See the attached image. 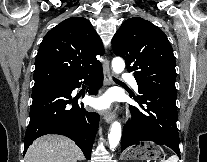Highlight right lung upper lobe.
<instances>
[{
    "label": "right lung upper lobe",
    "instance_id": "cb5924a9",
    "mask_svg": "<svg viewBox=\"0 0 207 162\" xmlns=\"http://www.w3.org/2000/svg\"><path fill=\"white\" fill-rule=\"evenodd\" d=\"M100 37L83 17H70L43 38L35 60L34 88L88 73L101 66Z\"/></svg>",
    "mask_w": 207,
    "mask_h": 162
}]
</instances>
